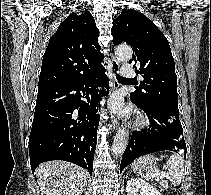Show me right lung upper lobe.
<instances>
[{
	"instance_id": "1",
	"label": "right lung upper lobe",
	"mask_w": 211,
	"mask_h": 195,
	"mask_svg": "<svg viewBox=\"0 0 211 195\" xmlns=\"http://www.w3.org/2000/svg\"><path fill=\"white\" fill-rule=\"evenodd\" d=\"M99 30L89 12L72 13L50 38L43 56L39 90L87 78L101 69Z\"/></svg>"
}]
</instances>
